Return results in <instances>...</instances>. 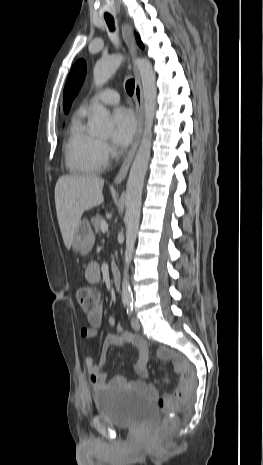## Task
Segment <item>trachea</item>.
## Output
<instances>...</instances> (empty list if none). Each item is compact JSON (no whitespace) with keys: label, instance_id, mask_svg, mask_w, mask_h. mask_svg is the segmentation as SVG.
Segmentation results:
<instances>
[{"label":"trachea","instance_id":"1","mask_svg":"<svg viewBox=\"0 0 263 465\" xmlns=\"http://www.w3.org/2000/svg\"><path fill=\"white\" fill-rule=\"evenodd\" d=\"M105 21L111 31H114V19L111 16H105ZM135 81L130 79L126 82V91L129 95H132L134 92Z\"/></svg>","mask_w":263,"mask_h":465}]
</instances>
